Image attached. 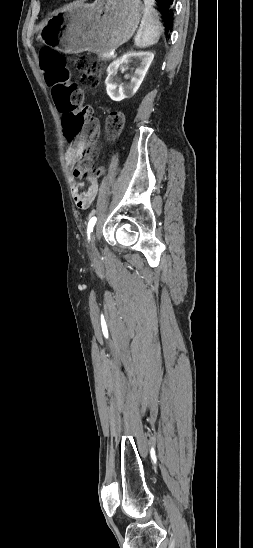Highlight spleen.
<instances>
[{"label":"spleen","instance_id":"spleen-1","mask_svg":"<svg viewBox=\"0 0 253 548\" xmlns=\"http://www.w3.org/2000/svg\"><path fill=\"white\" fill-rule=\"evenodd\" d=\"M153 1L154 0H144V15L140 29L135 37V45L140 48L156 44L163 31L158 12L152 6Z\"/></svg>","mask_w":253,"mask_h":548}]
</instances>
